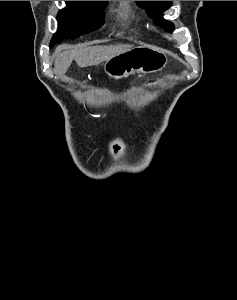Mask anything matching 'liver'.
I'll use <instances>...</instances> for the list:
<instances>
[{
  "mask_svg": "<svg viewBox=\"0 0 237 300\" xmlns=\"http://www.w3.org/2000/svg\"><path fill=\"white\" fill-rule=\"evenodd\" d=\"M133 45H108V47H88V45H80L73 51H63L55 57L54 65L57 71L66 73L70 67L73 59L76 61L78 67H93V65H100L103 61H108L120 53L130 51Z\"/></svg>",
  "mask_w": 237,
  "mask_h": 300,
  "instance_id": "6515ba94",
  "label": "liver"
}]
</instances>
